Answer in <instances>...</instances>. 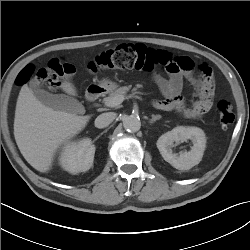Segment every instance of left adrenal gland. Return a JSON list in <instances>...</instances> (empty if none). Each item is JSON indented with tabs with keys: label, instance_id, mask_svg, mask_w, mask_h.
I'll use <instances>...</instances> for the list:
<instances>
[{
	"label": "left adrenal gland",
	"instance_id": "left-adrenal-gland-1",
	"mask_svg": "<svg viewBox=\"0 0 250 250\" xmlns=\"http://www.w3.org/2000/svg\"><path fill=\"white\" fill-rule=\"evenodd\" d=\"M161 118V115H152V118L149 120V123H154L155 121L159 120Z\"/></svg>",
	"mask_w": 250,
	"mask_h": 250
}]
</instances>
